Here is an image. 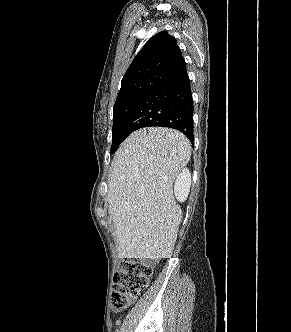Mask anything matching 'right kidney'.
Segmentation results:
<instances>
[{
    "mask_svg": "<svg viewBox=\"0 0 291 332\" xmlns=\"http://www.w3.org/2000/svg\"><path fill=\"white\" fill-rule=\"evenodd\" d=\"M191 186V174L188 169H183L175 182V196L179 201H185Z\"/></svg>",
    "mask_w": 291,
    "mask_h": 332,
    "instance_id": "obj_1",
    "label": "right kidney"
}]
</instances>
